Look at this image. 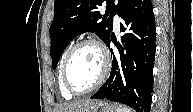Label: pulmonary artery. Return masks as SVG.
I'll use <instances>...</instances> for the list:
<instances>
[{"instance_id": "1", "label": "pulmonary artery", "mask_w": 193, "mask_h": 112, "mask_svg": "<svg viewBox=\"0 0 193 112\" xmlns=\"http://www.w3.org/2000/svg\"><path fill=\"white\" fill-rule=\"evenodd\" d=\"M113 19H114V27L115 29H118L119 23H120V17L118 15H115Z\"/></svg>"}]
</instances>
